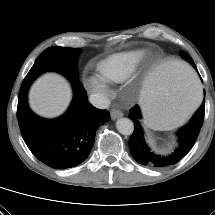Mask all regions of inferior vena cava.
Segmentation results:
<instances>
[{"instance_id":"1","label":"inferior vena cava","mask_w":215,"mask_h":215,"mask_svg":"<svg viewBox=\"0 0 215 215\" xmlns=\"http://www.w3.org/2000/svg\"><path fill=\"white\" fill-rule=\"evenodd\" d=\"M89 101L93 106L99 109H107L110 105V99L103 94H91Z\"/></svg>"}]
</instances>
